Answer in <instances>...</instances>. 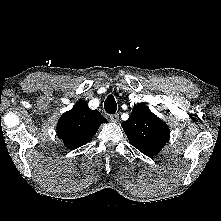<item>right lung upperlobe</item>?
<instances>
[{
  "label": "right lung upper lobe",
  "mask_w": 221,
  "mask_h": 221,
  "mask_svg": "<svg viewBox=\"0 0 221 221\" xmlns=\"http://www.w3.org/2000/svg\"><path fill=\"white\" fill-rule=\"evenodd\" d=\"M107 120L97 110L89 109L85 101H79L65 112L57 124V135L67 148L76 149L86 144Z\"/></svg>",
  "instance_id": "right-lung-upper-lobe-1"
}]
</instances>
